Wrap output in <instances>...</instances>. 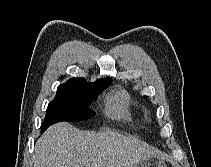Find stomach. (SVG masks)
I'll list each match as a JSON object with an SVG mask.
<instances>
[{
    "label": "stomach",
    "mask_w": 211,
    "mask_h": 167,
    "mask_svg": "<svg viewBox=\"0 0 211 167\" xmlns=\"http://www.w3.org/2000/svg\"><path fill=\"white\" fill-rule=\"evenodd\" d=\"M134 167H167V164L160 155L154 153L142 159Z\"/></svg>",
    "instance_id": "obj_1"
}]
</instances>
